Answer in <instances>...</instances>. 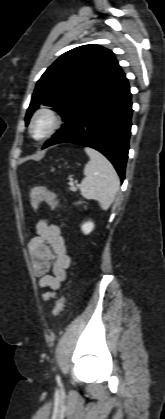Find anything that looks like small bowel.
Masks as SVG:
<instances>
[{
    "instance_id": "1",
    "label": "small bowel",
    "mask_w": 165,
    "mask_h": 419,
    "mask_svg": "<svg viewBox=\"0 0 165 419\" xmlns=\"http://www.w3.org/2000/svg\"><path fill=\"white\" fill-rule=\"evenodd\" d=\"M36 233L28 244V252L39 286L50 289L43 296L44 300H49L67 279L71 257L58 225L45 219L39 220Z\"/></svg>"
}]
</instances>
